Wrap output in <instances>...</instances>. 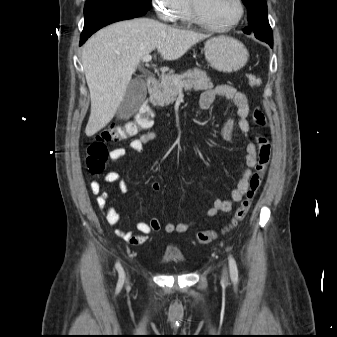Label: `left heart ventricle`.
Listing matches in <instances>:
<instances>
[{"instance_id":"obj_1","label":"left heart ventricle","mask_w":337,"mask_h":337,"mask_svg":"<svg viewBox=\"0 0 337 337\" xmlns=\"http://www.w3.org/2000/svg\"><path fill=\"white\" fill-rule=\"evenodd\" d=\"M196 2L203 17L215 24H227L238 14L236 0H196Z\"/></svg>"}]
</instances>
